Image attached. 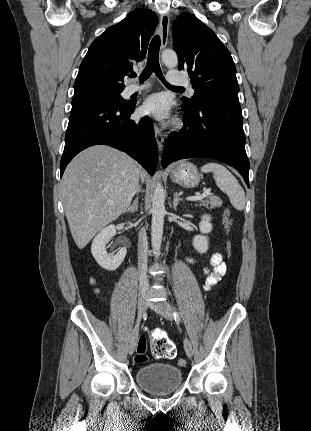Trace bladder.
Segmentation results:
<instances>
[{
    "instance_id": "bladder-1",
    "label": "bladder",
    "mask_w": 311,
    "mask_h": 431,
    "mask_svg": "<svg viewBox=\"0 0 311 431\" xmlns=\"http://www.w3.org/2000/svg\"><path fill=\"white\" fill-rule=\"evenodd\" d=\"M137 384L150 394L166 395L178 390L183 382L180 368L169 363H152L139 367L135 373Z\"/></svg>"
}]
</instances>
